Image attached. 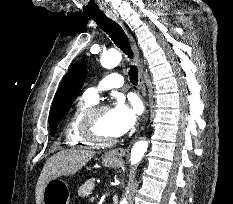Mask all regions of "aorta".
<instances>
[{
	"mask_svg": "<svg viewBox=\"0 0 233 204\" xmlns=\"http://www.w3.org/2000/svg\"><path fill=\"white\" fill-rule=\"evenodd\" d=\"M122 60V55L115 49L109 50L103 53L101 57V65L104 68L111 69L116 67ZM148 148V142L145 140H140L136 142L131 150L130 161L131 165L138 164L143 158L145 152ZM120 204H127L126 198H123Z\"/></svg>",
	"mask_w": 233,
	"mask_h": 204,
	"instance_id": "1",
	"label": "aorta"
}]
</instances>
